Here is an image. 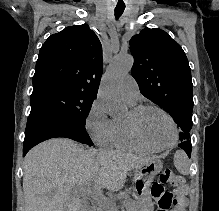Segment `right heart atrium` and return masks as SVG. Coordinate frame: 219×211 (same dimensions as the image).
<instances>
[{
  "label": "right heart atrium",
  "instance_id": "d8ad5b80",
  "mask_svg": "<svg viewBox=\"0 0 219 211\" xmlns=\"http://www.w3.org/2000/svg\"><path fill=\"white\" fill-rule=\"evenodd\" d=\"M85 126L92 140L99 146H108L112 143L115 131V121L109 111L98 100H94L85 118Z\"/></svg>",
  "mask_w": 219,
  "mask_h": 211
}]
</instances>
